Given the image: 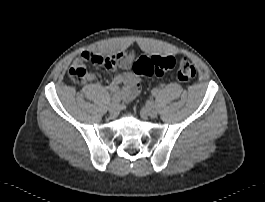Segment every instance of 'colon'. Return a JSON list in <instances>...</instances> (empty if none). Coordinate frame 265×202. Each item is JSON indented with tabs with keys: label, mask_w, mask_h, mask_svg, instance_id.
<instances>
[{
	"label": "colon",
	"mask_w": 265,
	"mask_h": 202,
	"mask_svg": "<svg viewBox=\"0 0 265 202\" xmlns=\"http://www.w3.org/2000/svg\"><path fill=\"white\" fill-rule=\"evenodd\" d=\"M176 66L172 56H146L141 55L135 59L132 68L135 73L146 77H161ZM69 77L81 82L84 80L86 70L83 66L73 65L68 69ZM176 77L181 82H189L196 77L195 67L186 59H182L176 71Z\"/></svg>",
	"instance_id": "obj_1"
}]
</instances>
